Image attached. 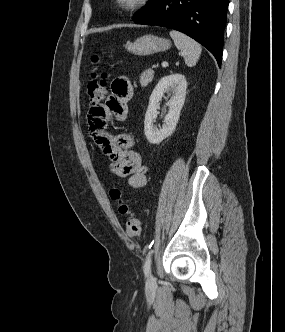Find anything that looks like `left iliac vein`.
<instances>
[{
	"label": "left iliac vein",
	"instance_id": "obj_1",
	"mask_svg": "<svg viewBox=\"0 0 285 332\" xmlns=\"http://www.w3.org/2000/svg\"><path fill=\"white\" fill-rule=\"evenodd\" d=\"M155 281L154 277L152 275H149L148 279H147V283L148 284H153Z\"/></svg>",
	"mask_w": 285,
	"mask_h": 332
}]
</instances>
